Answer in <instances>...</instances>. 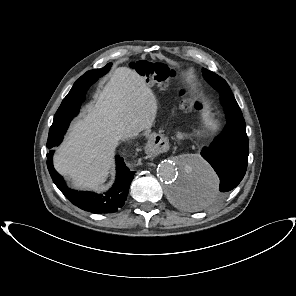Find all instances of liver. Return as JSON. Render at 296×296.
I'll use <instances>...</instances> for the list:
<instances>
[{
    "instance_id": "1",
    "label": "liver",
    "mask_w": 296,
    "mask_h": 296,
    "mask_svg": "<svg viewBox=\"0 0 296 296\" xmlns=\"http://www.w3.org/2000/svg\"><path fill=\"white\" fill-rule=\"evenodd\" d=\"M157 100L145 79L126 67L114 70L59 147L54 166L79 188L95 189L106 180L120 134L151 128Z\"/></svg>"
}]
</instances>
